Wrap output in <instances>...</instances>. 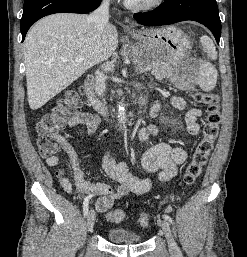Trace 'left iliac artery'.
Wrapping results in <instances>:
<instances>
[{"label": "left iliac artery", "mask_w": 247, "mask_h": 257, "mask_svg": "<svg viewBox=\"0 0 247 257\" xmlns=\"http://www.w3.org/2000/svg\"><path fill=\"white\" fill-rule=\"evenodd\" d=\"M164 219L168 220L170 223H172V219L169 215H163Z\"/></svg>", "instance_id": "left-iliac-artery-1"}]
</instances>
